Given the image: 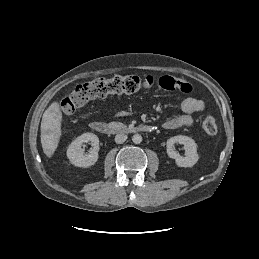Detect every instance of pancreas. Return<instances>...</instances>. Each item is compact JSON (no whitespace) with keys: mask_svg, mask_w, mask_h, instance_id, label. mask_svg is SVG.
I'll list each match as a JSON object with an SVG mask.
<instances>
[{"mask_svg":"<svg viewBox=\"0 0 259 259\" xmlns=\"http://www.w3.org/2000/svg\"><path fill=\"white\" fill-rule=\"evenodd\" d=\"M110 127L120 129V128H125V125L120 122H111Z\"/></svg>","mask_w":259,"mask_h":259,"instance_id":"1","label":"pancreas"}]
</instances>
